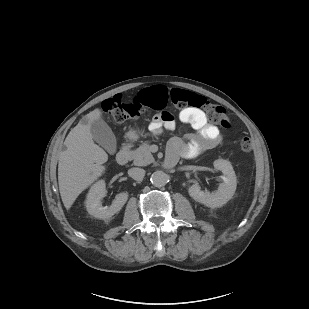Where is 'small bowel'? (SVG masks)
Returning a JSON list of instances; mask_svg holds the SVG:
<instances>
[{"mask_svg": "<svg viewBox=\"0 0 309 309\" xmlns=\"http://www.w3.org/2000/svg\"><path fill=\"white\" fill-rule=\"evenodd\" d=\"M179 119L190 125L195 133L188 135L186 141L178 137L172 138L168 143L166 160L176 163L179 158L195 157L220 142L218 128L207 121L203 111L188 108L180 112ZM162 126L173 129L174 118L168 113L162 119L158 115L150 125L152 133L157 134Z\"/></svg>", "mask_w": 309, "mask_h": 309, "instance_id": "obj_1", "label": "small bowel"}]
</instances>
